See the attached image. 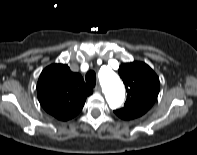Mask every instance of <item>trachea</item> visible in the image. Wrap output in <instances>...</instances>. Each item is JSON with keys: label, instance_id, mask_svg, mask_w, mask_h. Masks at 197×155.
Here are the masks:
<instances>
[{"label": "trachea", "instance_id": "trachea-1", "mask_svg": "<svg viewBox=\"0 0 197 155\" xmlns=\"http://www.w3.org/2000/svg\"><path fill=\"white\" fill-rule=\"evenodd\" d=\"M86 82L91 87H94L96 84V73L94 71H89L85 76Z\"/></svg>", "mask_w": 197, "mask_h": 155}]
</instances>
